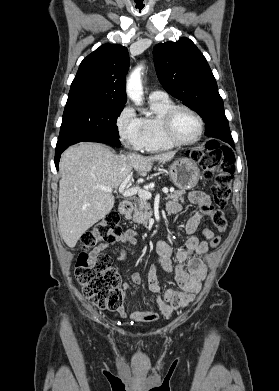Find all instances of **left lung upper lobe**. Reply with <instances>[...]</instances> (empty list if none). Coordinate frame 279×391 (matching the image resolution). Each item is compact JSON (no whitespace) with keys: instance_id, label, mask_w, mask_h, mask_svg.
I'll use <instances>...</instances> for the list:
<instances>
[{"instance_id":"1","label":"left lung upper lobe","mask_w":279,"mask_h":391,"mask_svg":"<svg viewBox=\"0 0 279 391\" xmlns=\"http://www.w3.org/2000/svg\"><path fill=\"white\" fill-rule=\"evenodd\" d=\"M153 55L160 83L202 117L205 135L232 140L216 80L195 44L188 38L160 43L154 46Z\"/></svg>"}]
</instances>
